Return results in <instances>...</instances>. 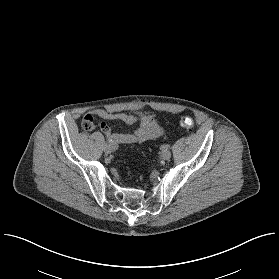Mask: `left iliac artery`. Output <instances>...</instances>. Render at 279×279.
Masks as SVG:
<instances>
[{"mask_svg": "<svg viewBox=\"0 0 279 279\" xmlns=\"http://www.w3.org/2000/svg\"><path fill=\"white\" fill-rule=\"evenodd\" d=\"M171 147V145H162L161 146V149L162 150H167V149H169Z\"/></svg>", "mask_w": 279, "mask_h": 279, "instance_id": "obj_1", "label": "left iliac artery"}]
</instances>
